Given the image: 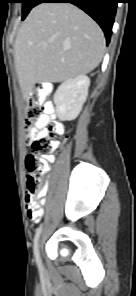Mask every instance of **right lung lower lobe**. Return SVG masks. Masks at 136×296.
<instances>
[{"mask_svg": "<svg viewBox=\"0 0 136 296\" xmlns=\"http://www.w3.org/2000/svg\"><path fill=\"white\" fill-rule=\"evenodd\" d=\"M119 0H41L40 3H72L90 15L102 28L107 43Z\"/></svg>", "mask_w": 136, "mask_h": 296, "instance_id": "obj_1", "label": "right lung lower lobe"}]
</instances>
